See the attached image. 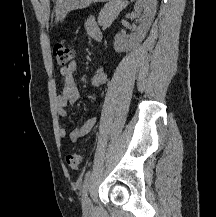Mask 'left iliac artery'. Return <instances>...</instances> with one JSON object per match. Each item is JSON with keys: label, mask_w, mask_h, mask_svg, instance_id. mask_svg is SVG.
I'll use <instances>...</instances> for the list:
<instances>
[{"label": "left iliac artery", "mask_w": 216, "mask_h": 217, "mask_svg": "<svg viewBox=\"0 0 216 217\" xmlns=\"http://www.w3.org/2000/svg\"><path fill=\"white\" fill-rule=\"evenodd\" d=\"M91 178V171H88L85 175L83 182V194H86Z\"/></svg>", "instance_id": "44dca946"}]
</instances>
